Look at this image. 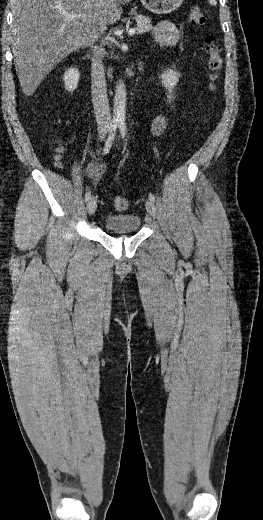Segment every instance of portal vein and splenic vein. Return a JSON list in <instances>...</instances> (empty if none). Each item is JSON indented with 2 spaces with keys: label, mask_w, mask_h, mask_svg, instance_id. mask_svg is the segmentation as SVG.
I'll list each match as a JSON object with an SVG mask.
<instances>
[{
  "label": "portal vein and splenic vein",
  "mask_w": 263,
  "mask_h": 520,
  "mask_svg": "<svg viewBox=\"0 0 263 520\" xmlns=\"http://www.w3.org/2000/svg\"><path fill=\"white\" fill-rule=\"evenodd\" d=\"M64 16L66 19L70 20V19H75V18H80L81 15L80 14H77V13H64ZM136 32V29L132 28L128 31V34L129 35H133L135 34Z\"/></svg>",
  "instance_id": "1"
}]
</instances>
